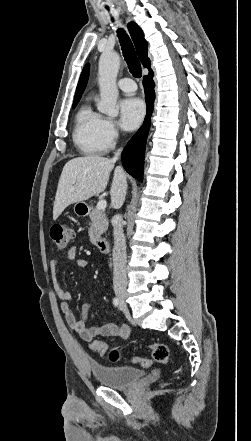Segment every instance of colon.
I'll return each instance as SVG.
<instances>
[{
	"label": "colon",
	"instance_id": "5ec220e1",
	"mask_svg": "<svg viewBox=\"0 0 251 441\" xmlns=\"http://www.w3.org/2000/svg\"><path fill=\"white\" fill-rule=\"evenodd\" d=\"M74 237V231L69 226L57 224L50 229V238L58 250L64 249ZM152 357L155 361L168 364L170 362V351L165 344L153 343L148 345ZM90 349L98 352L102 357L108 358L112 362L120 359V353L117 349H110L105 343L94 340L90 343ZM131 361L142 367H148L151 361L147 358L133 357Z\"/></svg>",
	"mask_w": 251,
	"mask_h": 441
}]
</instances>
